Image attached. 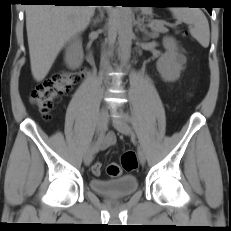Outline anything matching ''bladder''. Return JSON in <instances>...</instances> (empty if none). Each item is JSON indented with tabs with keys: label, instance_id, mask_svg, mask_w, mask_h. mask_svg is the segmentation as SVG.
Segmentation results:
<instances>
[{
	"label": "bladder",
	"instance_id": "31cf9c89",
	"mask_svg": "<svg viewBox=\"0 0 231 231\" xmlns=\"http://www.w3.org/2000/svg\"><path fill=\"white\" fill-rule=\"evenodd\" d=\"M91 190L109 198H125L133 194L138 187L135 175H124L110 180L93 178L89 180Z\"/></svg>",
	"mask_w": 231,
	"mask_h": 231
}]
</instances>
